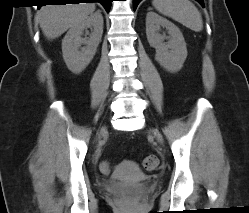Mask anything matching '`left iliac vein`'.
<instances>
[{
	"mask_svg": "<svg viewBox=\"0 0 249 213\" xmlns=\"http://www.w3.org/2000/svg\"><path fill=\"white\" fill-rule=\"evenodd\" d=\"M154 136L156 137L157 141L159 143H163V138L161 136V134L157 131V130H152Z\"/></svg>",
	"mask_w": 249,
	"mask_h": 213,
	"instance_id": "1",
	"label": "left iliac vein"
}]
</instances>
